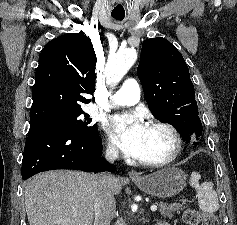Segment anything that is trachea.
Masks as SVG:
<instances>
[{"instance_id": "1", "label": "trachea", "mask_w": 237, "mask_h": 225, "mask_svg": "<svg viewBox=\"0 0 237 225\" xmlns=\"http://www.w3.org/2000/svg\"><path fill=\"white\" fill-rule=\"evenodd\" d=\"M112 17L116 20H122L123 19V17L117 16V15H112Z\"/></svg>"}]
</instances>
